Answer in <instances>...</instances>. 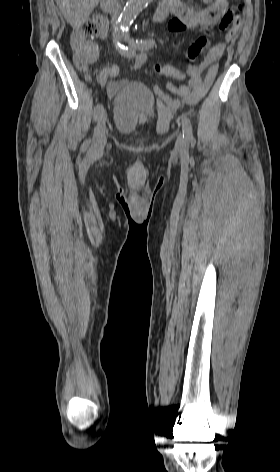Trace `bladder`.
<instances>
[{
	"instance_id": "1",
	"label": "bladder",
	"mask_w": 280,
	"mask_h": 472,
	"mask_svg": "<svg viewBox=\"0 0 280 472\" xmlns=\"http://www.w3.org/2000/svg\"><path fill=\"white\" fill-rule=\"evenodd\" d=\"M157 103L153 92L143 83L126 84L114 99L113 123L122 133H133L140 125L153 119Z\"/></svg>"
}]
</instances>
